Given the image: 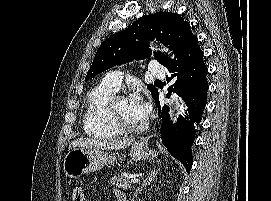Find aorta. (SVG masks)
<instances>
[{
	"label": "aorta",
	"instance_id": "1",
	"mask_svg": "<svg viewBox=\"0 0 271 201\" xmlns=\"http://www.w3.org/2000/svg\"><path fill=\"white\" fill-rule=\"evenodd\" d=\"M162 51H167V49L165 47H163ZM174 111H175L174 109L170 110V118H171V120H174V118H175Z\"/></svg>",
	"mask_w": 271,
	"mask_h": 201
}]
</instances>
